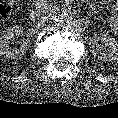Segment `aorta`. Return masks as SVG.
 I'll use <instances>...</instances> for the list:
<instances>
[{
	"label": "aorta",
	"mask_w": 118,
	"mask_h": 118,
	"mask_svg": "<svg viewBox=\"0 0 118 118\" xmlns=\"http://www.w3.org/2000/svg\"><path fill=\"white\" fill-rule=\"evenodd\" d=\"M54 22L57 26L68 30H72L80 25L79 21L75 19L71 13L68 12H64L55 16Z\"/></svg>",
	"instance_id": "1"
}]
</instances>
